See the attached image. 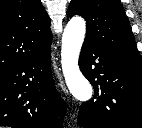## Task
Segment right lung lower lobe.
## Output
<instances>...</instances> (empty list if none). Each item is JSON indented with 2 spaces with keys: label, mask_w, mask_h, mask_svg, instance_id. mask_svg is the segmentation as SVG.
I'll return each mask as SVG.
<instances>
[{
  "label": "right lung lower lobe",
  "mask_w": 142,
  "mask_h": 128,
  "mask_svg": "<svg viewBox=\"0 0 142 128\" xmlns=\"http://www.w3.org/2000/svg\"><path fill=\"white\" fill-rule=\"evenodd\" d=\"M51 45V44H50ZM50 45L0 74V126L56 128L65 105L57 93L50 65Z\"/></svg>",
  "instance_id": "obj_1"
}]
</instances>
